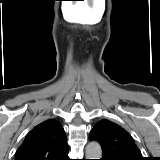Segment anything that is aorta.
I'll return each mask as SVG.
<instances>
[{
  "mask_svg": "<svg viewBox=\"0 0 160 160\" xmlns=\"http://www.w3.org/2000/svg\"><path fill=\"white\" fill-rule=\"evenodd\" d=\"M86 159H101L102 149L98 142H90L85 149Z\"/></svg>",
  "mask_w": 160,
  "mask_h": 160,
  "instance_id": "aorta-1",
  "label": "aorta"
}]
</instances>
